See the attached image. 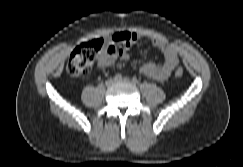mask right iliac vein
I'll return each mask as SVG.
<instances>
[{"instance_id": "right-iliac-vein-1", "label": "right iliac vein", "mask_w": 243, "mask_h": 167, "mask_svg": "<svg viewBox=\"0 0 243 167\" xmlns=\"http://www.w3.org/2000/svg\"><path fill=\"white\" fill-rule=\"evenodd\" d=\"M116 83V80L113 78H110L106 81V86H112L113 84Z\"/></svg>"}]
</instances>
